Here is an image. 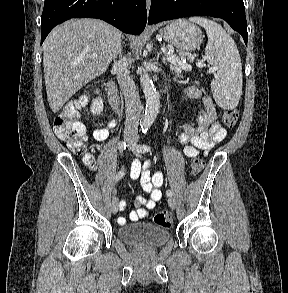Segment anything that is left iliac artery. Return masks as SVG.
I'll return each mask as SVG.
<instances>
[{
	"mask_svg": "<svg viewBox=\"0 0 288 293\" xmlns=\"http://www.w3.org/2000/svg\"><path fill=\"white\" fill-rule=\"evenodd\" d=\"M144 133H146V130L144 131ZM137 151L138 152H148V151H150V146H148V145H146V144H141V145H139L138 147H137ZM166 194H167V196L168 197H172V195H173V193H172V191L171 190H167L166 191Z\"/></svg>",
	"mask_w": 288,
	"mask_h": 293,
	"instance_id": "obj_1",
	"label": "left iliac artery"
}]
</instances>
